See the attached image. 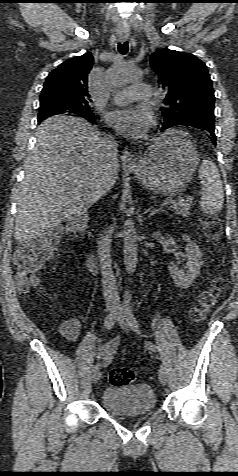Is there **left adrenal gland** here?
I'll return each instance as SVG.
<instances>
[{"instance_id": "1", "label": "left adrenal gland", "mask_w": 238, "mask_h": 476, "mask_svg": "<svg viewBox=\"0 0 238 476\" xmlns=\"http://www.w3.org/2000/svg\"><path fill=\"white\" fill-rule=\"evenodd\" d=\"M163 210L162 209H152V208H149V209H145V213H148V217H151L153 215H155L156 213L158 212H162Z\"/></svg>"}]
</instances>
